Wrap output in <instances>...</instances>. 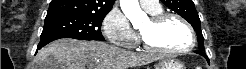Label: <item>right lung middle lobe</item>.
Here are the masks:
<instances>
[{
	"instance_id": "right-lung-middle-lobe-1",
	"label": "right lung middle lobe",
	"mask_w": 246,
	"mask_h": 69,
	"mask_svg": "<svg viewBox=\"0 0 246 69\" xmlns=\"http://www.w3.org/2000/svg\"><path fill=\"white\" fill-rule=\"evenodd\" d=\"M106 15H61L45 18L41 39L73 38L102 40L101 24Z\"/></svg>"
}]
</instances>
